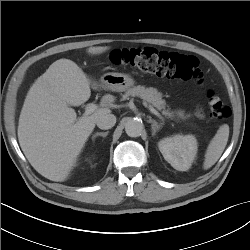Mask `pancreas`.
I'll use <instances>...</instances> for the list:
<instances>
[{
    "instance_id": "1",
    "label": "pancreas",
    "mask_w": 250,
    "mask_h": 250,
    "mask_svg": "<svg viewBox=\"0 0 250 250\" xmlns=\"http://www.w3.org/2000/svg\"><path fill=\"white\" fill-rule=\"evenodd\" d=\"M129 96H138L142 98L144 101L152 104L157 110L161 111V113L171 119L175 118L174 112L170 110V108H166V102L162 99V93L158 92L156 88L149 87L145 88L144 86H135L129 89L124 95L123 100L127 99Z\"/></svg>"
}]
</instances>
